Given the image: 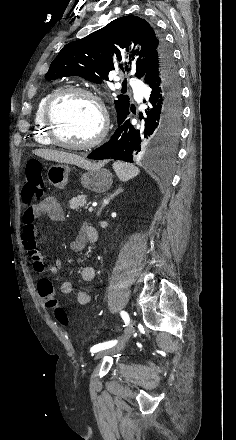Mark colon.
<instances>
[{
	"label": "colon",
	"mask_w": 236,
	"mask_h": 440,
	"mask_svg": "<svg viewBox=\"0 0 236 440\" xmlns=\"http://www.w3.org/2000/svg\"><path fill=\"white\" fill-rule=\"evenodd\" d=\"M44 192V179L42 168L38 161H29L25 166V182L22 191V198L25 202L38 199ZM38 290L49 308L54 309L56 319L63 325H68L69 318L66 312L58 306L54 295V289L50 281L40 280Z\"/></svg>",
	"instance_id": "1"
}]
</instances>
